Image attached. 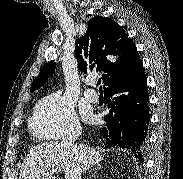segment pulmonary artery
<instances>
[{
    "mask_svg": "<svg viewBox=\"0 0 183 179\" xmlns=\"http://www.w3.org/2000/svg\"><path fill=\"white\" fill-rule=\"evenodd\" d=\"M86 83H87V85L92 86L93 83H94V81L90 79V80H87ZM84 95H85V97H86L88 100H90V101H92V102H95V101L98 100V94H97V92H96L94 89H92V88L86 89V90L84 91Z\"/></svg>",
    "mask_w": 183,
    "mask_h": 179,
    "instance_id": "pulmonary-artery-1",
    "label": "pulmonary artery"
}]
</instances>
